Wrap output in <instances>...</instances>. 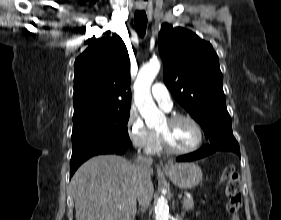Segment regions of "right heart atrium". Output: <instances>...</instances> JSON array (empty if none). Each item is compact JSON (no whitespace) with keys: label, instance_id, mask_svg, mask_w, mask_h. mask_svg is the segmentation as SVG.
<instances>
[{"label":"right heart atrium","instance_id":"obj_1","mask_svg":"<svg viewBox=\"0 0 281 220\" xmlns=\"http://www.w3.org/2000/svg\"><path fill=\"white\" fill-rule=\"evenodd\" d=\"M127 135L131 144L143 152H151L156 135L144 123L136 111H131L126 124Z\"/></svg>","mask_w":281,"mask_h":220}]
</instances>
